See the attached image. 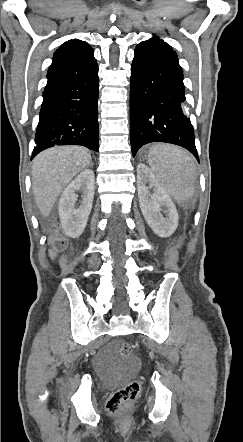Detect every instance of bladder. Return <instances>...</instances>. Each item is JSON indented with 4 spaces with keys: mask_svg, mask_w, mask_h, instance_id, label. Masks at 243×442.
Segmentation results:
<instances>
[{
    "mask_svg": "<svg viewBox=\"0 0 243 442\" xmlns=\"http://www.w3.org/2000/svg\"><path fill=\"white\" fill-rule=\"evenodd\" d=\"M138 362L136 360H120L116 365V378L125 380L132 377L137 371Z\"/></svg>",
    "mask_w": 243,
    "mask_h": 442,
    "instance_id": "bladder-1",
    "label": "bladder"
}]
</instances>
